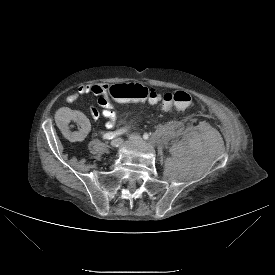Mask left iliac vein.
<instances>
[{"label":"left iliac vein","instance_id":"4c4485c4","mask_svg":"<svg viewBox=\"0 0 275 275\" xmlns=\"http://www.w3.org/2000/svg\"><path fill=\"white\" fill-rule=\"evenodd\" d=\"M129 139L132 141H141L142 140V138L137 134H130Z\"/></svg>","mask_w":275,"mask_h":275}]
</instances>
